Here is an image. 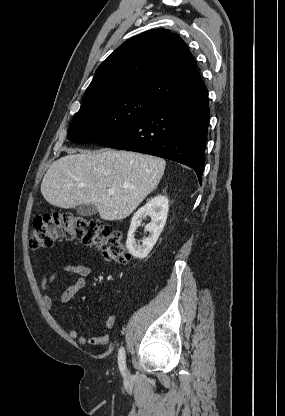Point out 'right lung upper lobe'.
<instances>
[{
    "mask_svg": "<svg viewBox=\"0 0 285 416\" xmlns=\"http://www.w3.org/2000/svg\"><path fill=\"white\" fill-rule=\"evenodd\" d=\"M206 88L184 41L156 29L132 37L98 67L80 109L137 96L159 106Z\"/></svg>",
    "mask_w": 285,
    "mask_h": 416,
    "instance_id": "right-lung-upper-lobe-1",
    "label": "right lung upper lobe"
}]
</instances>
